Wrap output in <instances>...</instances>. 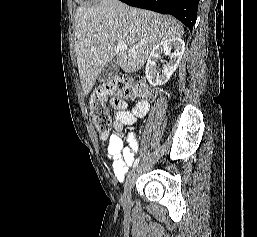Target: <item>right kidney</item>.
Returning a JSON list of instances; mask_svg holds the SVG:
<instances>
[{"label":"right kidney","instance_id":"right-kidney-1","mask_svg":"<svg viewBox=\"0 0 257 237\" xmlns=\"http://www.w3.org/2000/svg\"><path fill=\"white\" fill-rule=\"evenodd\" d=\"M185 50V43L181 38H169L157 44L151 51L145 69L146 78L154 86L164 85L177 69ZM164 54L169 61L164 64L161 72L157 70V61Z\"/></svg>","mask_w":257,"mask_h":237}]
</instances>
